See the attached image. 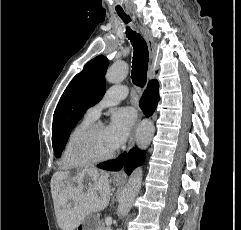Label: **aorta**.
Returning a JSON list of instances; mask_svg holds the SVG:
<instances>
[{
    "instance_id": "aorta-1",
    "label": "aorta",
    "mask_w": 241,
    "mask_h": 230,
    "mask_svg": "<svg viewBox=\"0 0 241 230\" xmlns=\"http://www.w3.org/2000/svg\"><path fill=\"white\" fill-rule=\"evenodd\" d=\"M128 74V64L124 61L114 63L106 73V80L111 84L122 82ZM154 124L149 120H144L138 127L136 133V144L141 150H146L150 145L154 135ZM142 168L137 167L130 175L121 195L117 214L120 218L126 216L132 208L134 200L141 188L142 183Z\"/></svg>"
}]
</instances>
